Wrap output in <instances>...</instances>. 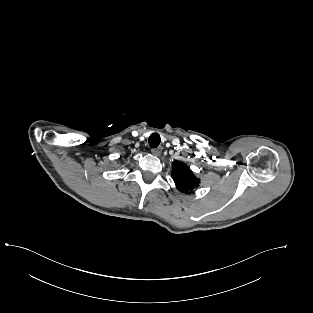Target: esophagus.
<instances>
[{
	"instance_id": "esophagus-1",
	"label": "esophagus",
	"mask_w": 313,
	"mask_h": 313,
	"mask_svg": "<svg viewBox=\"0 0 313 313\" xmlns=\"http://www.w3.org/2000/svg\"><path fill=\"white\" fill-rule=\"evenodd\" d=\"M152 154L155 156H159L161 154V149L160 148H153L151 150Z\"/></svg>"
}]
</instances>
